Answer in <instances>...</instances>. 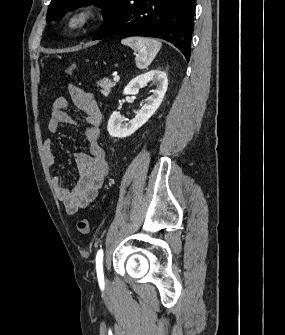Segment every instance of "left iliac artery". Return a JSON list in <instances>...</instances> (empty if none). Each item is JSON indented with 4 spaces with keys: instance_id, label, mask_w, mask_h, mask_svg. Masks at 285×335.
Instances as JSON below:
<instances>
[{
    "instance_id": "left-iliac-artery-1",
    "label": "left iliac artery",
    "mask_w": 285,
    "mask_h": 335,
    "mask_svg": "<svg viewBox=\"0 0 285 335\" xmlns=\"http://www.w3.org/2000/svg\"><path fill=\"white\" fill-rule=\"evenodd\" d=\"M96 271L98 280L104 279L103 275V250L100 249L96 255Z\"/></svg>"
}]
</instances>
